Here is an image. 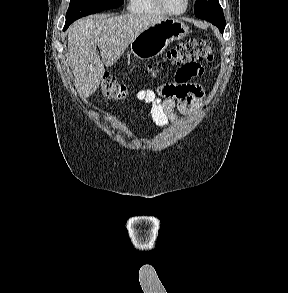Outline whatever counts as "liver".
Wrapping results in <instances>:
<instances>
[{"mask_svg": "<svg viewBox=\"0 0 288 293\" xmlns=\"http://www.w3.org/2000/svg\"><path fill=\"white\" fill-rule=\"evenodd\" d=\"M162 19V15L134 13L98 15L75 22L68 32L67 56L80 97L92 95L100 85L105 67L115 64L137 35Z\"/></svg>", "mask_w": 288, "mask_h": 293, "instance_id": "obj_1", "label": "liver"}]
</instances>
